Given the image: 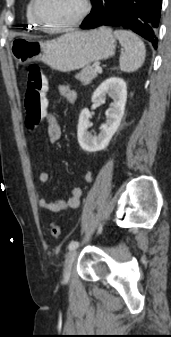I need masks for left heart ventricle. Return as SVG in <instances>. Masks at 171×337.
<instances>
[{"instance_id":"b2bd125f","label":"left heart ventricle","mask_w":171,"mask_h":337,"mask_svg":"<svg viewBox=\"0 0 171 337\" xmlns=\"http://www.w3.org/2000/svg\"><path fill=\"white\" fill-rule=\"evenodd\" d=\"M82 7V0H41L39 11L47 23L60 25L76 18Z\"/></svg>"}]
</instances>
